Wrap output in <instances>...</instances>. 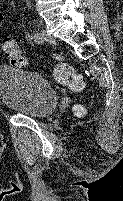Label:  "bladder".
Wrapping results in <instances>:
<instances>
[{
	"mask_svg": "<svg viewBox=\"0 0 123 201\" xmlns=\"http://www.w3.org/2000/svg\"><path fill=\"white\" fill-rule=\"evenodd\" d=\"M0 102L13 112L42 119L55 110L58 95L41 75L0 65Z\"/></svg>",
	"mask_w": 123,
	"mask_h": 201,
	"instance_id": "31cf9c89",
	"label": "bladder"
}]
</instances>
